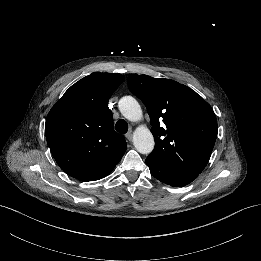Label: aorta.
Returning <instances> with one entry per match:
<instances>
[{"mask_svg": "<svg viewBox=\"0 0 261 261\" xmlns=\"http://www.w3.org/2000/svg\"><path fill=\"white\" fill-rule=\"evenodd\" d=\"M119 110L128 120H138L141 117V107L138 101L132 96H124L120 99ZM134 146L140 154L148 155L154 149V138L149 130H136L133 138Z\"/></svg>", "mask_w": 261, "mask_h": 261, "instance_id": "obj_1", "label": "aorta"}]
</instances>
